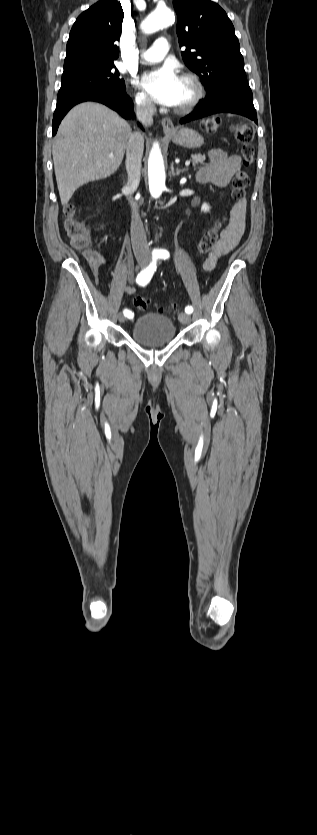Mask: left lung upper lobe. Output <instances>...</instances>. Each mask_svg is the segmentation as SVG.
<instances>
[{"instance_id": "obj_1", "label": "left lung upper lobe", "mask_w": 317, "mask_h": 835, "mask_svg": "<svg viewBox=\"0 0 317 835\" xmlns=\"http://www.w3.org/2000/svg\"><path fill=\"white\" fill-rule=\"evenodd\" d=\"M182 57L198 74L215 100L233 83H247L244 60L232 22L225 11L210 0H173Z\"/></svg>"}]
</instances>
